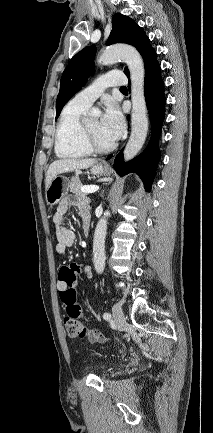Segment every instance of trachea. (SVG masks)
Wrapping results in <instances>:
<instances>
[{
	"instance_id": "trachea-1",
	"label": "trachea",
	"mask_w": 213,
	"mask_h": 433,
	"mask_svg": "<svg viewBox=\"0 0 213 433\" xmlns=\"http://www.w3.org/2000/svg\"><path fill=\"white\" fill-rule=\"evenodd\" d=\"M120 89H121V90H124V89H127V88L123 86V87H121Z\"/></svg>"
}]
</instances>
